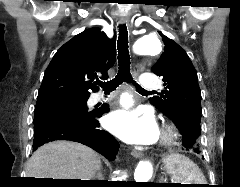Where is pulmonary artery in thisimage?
<instances>
[{"label":"pulmonary artery","mask_w":240,"mask_h":187,"mask_svg":"<svg viewBox=\"0 0 240 187\" xmlns=\"http://www.w3.org/2000/svg\"><path fill=\"white\" fill-rule=\"evenodd\" d=\"M139 82L142 85V87L144 88V90H147V91L154 90L158 86L157 85V80H156L155 76L152 75V74L142 75L139 78ZM103 100H104V98L101 95H98V94H96L93 97V102L94 103L101 102Z\"/></svg>","instance_id":"1"}]
</instances>
